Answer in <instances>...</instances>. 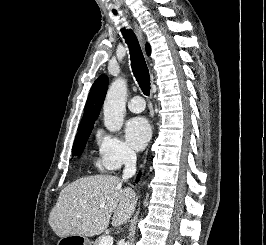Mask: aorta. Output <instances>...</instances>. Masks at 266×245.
<instances>
[{
	"label": "aorta",
	"instance_id": "762f6f07",
	"mask_svg": "<svg viewBox=\"0 0 266 245\" xmlns=\"http://www.w3.org/2000/svg\"><path fill=\"white\" fill-rule=\"evenodd\" d=\"M126 96L127 82L125 78H115L108 88L103 104L104 125L110 133L122 129Z\"/></svg>",
	"mask_w": 266,
	"mask_h": 245
}]
</instances>
